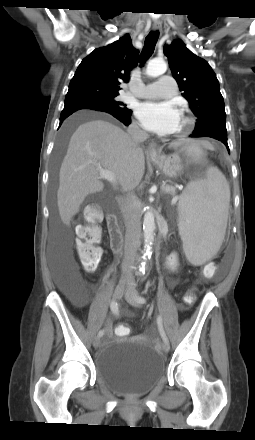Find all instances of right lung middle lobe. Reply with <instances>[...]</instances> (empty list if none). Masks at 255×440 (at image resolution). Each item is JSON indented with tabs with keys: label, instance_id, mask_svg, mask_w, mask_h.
<instances>
[{
	"label": "right lung middle lobe",
	"instance_id": "right-lung-middle-lobe-1",
	"mask_svg": "<svg viewBox=\"0 0 255 440\" xmlns=\"http://www.w3.org/2000/svg\"><path fill=\"white\" fill-rule=\"evenodd\" d=\"M116 96H118V94L92 93L79 98H66L65 104L74 103V102H89V103L102 104L119 111H129V109L126 108L125 105H123V103L117 102L115 100ZM67 133L68 132L63 133L60 141V146L64 145L66 141Z\"/></svg>",
	"mask_w": 255,
	"mask_h": 440
}]
</instances>
